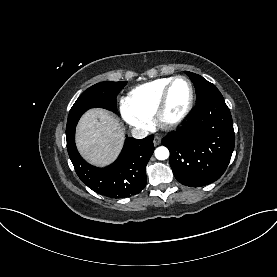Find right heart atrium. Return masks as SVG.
<instances>
[{
    "label": "right heart atrium",
    "mask_w": 277,
    "mask_h": 277,
    "mask_svg": "<svg viewBox=\"0 0 277 277\" xmlns=\"http://www.w3.org/2000/svg\"><path fill=\"white\" fill-rule=\"evenodd\" d=\"M121 115L126 123L138 130H147L151 125L150 117L131 108L126 101L120 107Z\"/></svg>",
    "instance_id": "1"
}]
</instances>
